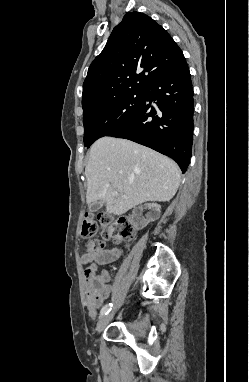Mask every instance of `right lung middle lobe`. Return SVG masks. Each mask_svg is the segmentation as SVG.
<instances>
[{
	"label": "right lung middle lobe",
	"instance_id": "1",
	"mask_svg": "<svg viewBox=\"0 0 249 382\" xmlns=\"http://www.w3.org/2000/svg\"><path fill=\"white\" fill-rule=\"evenodd\" d=\"M144 99L145 90H134L83 108L85 147L89 148L97 139L108 136L127 123L140 110Z\"/></svg>",
	"mask_w": 249,
	"mask_h": 382
}]
</instances>
